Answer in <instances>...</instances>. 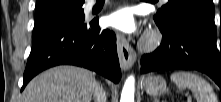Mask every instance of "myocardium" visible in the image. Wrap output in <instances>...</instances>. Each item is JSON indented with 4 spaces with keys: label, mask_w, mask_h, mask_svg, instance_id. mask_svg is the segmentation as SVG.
Instances as JSON below:
<instances>
[{
    "label": "myocardium",
    "mask_w": 221,
    "mask_h": 102,
    "mask_svg": "<svg viewBox=\"0 0 221 102\" xmlns=\"http://www.w3.org/2000/svg\"><path fill=\"white\" fill-rule=\"evenodd\" d=\"M160 42V36L157 32H151L147 35L144 41V47L147 49H152L156 47Z\"/></svg>",
    "instance_id": "myocardium-1"
}]
</instances>
